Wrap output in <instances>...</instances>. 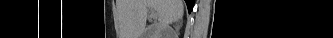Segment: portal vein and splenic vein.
<instances>
[{
    "mask_svg": "<svg viewBox=\"0 0 333 38\" xmlns=\"http://www.w3.org/2000/svg\"><path fill=\"white\" fill-rule=\"evenodd\" d=\"M157 16H158L157 13H156L155 11L151 10V17H152L153 19H156Z\"/></svg>",
    "mask_w": 333,
    "mask_h": 38,
    "instance_id": "portal-vein-and-splenic-vein-1",
    "label": "portal vein and splenic vein"
}]
</instances>
